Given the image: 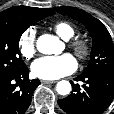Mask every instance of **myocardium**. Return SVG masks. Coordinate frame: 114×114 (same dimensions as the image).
<instances>
[{
	"label": "myocardium",
	"instance_id": "1",
	"mask_svg": "<svg viewBox=\"0 0 114 114\" xmlns=\"http://www.w3.org/2000/svg\"><path fill=\"white\" fill-rule=\"evenodd\" d=\"M70 46L75 55L81 60L88 58L91 53L90 43L86 39L76 38L71 41Z\"/></svg>",
	"mask_w": 114,
	"mask_h": 114
}]
</instances>
